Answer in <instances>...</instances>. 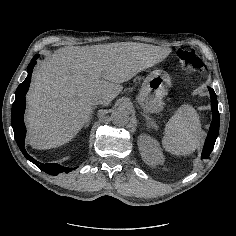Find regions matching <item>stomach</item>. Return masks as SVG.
I'll return each instance as SVG.
<instances>
[{"instance_id": "obj_1", "label": "stomach", "mask_w": 236, "mask_h": 236, "mask_svg": "<svg viewBox=\"0 0 236 236\" xmlns=\"http://www.w3.org/2000/svg\"><path fill=\"white\" fill-rule=\"evenodd\" d=\"M171 86L169 75L165 71L155 70L143 82L137 97L139 104L145 112L157 113L163 108L162 99Z\"/></svg>"}]
</instances>
